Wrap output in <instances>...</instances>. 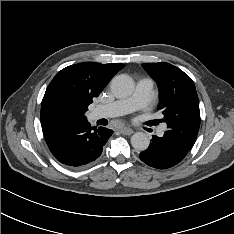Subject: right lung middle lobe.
I'll return each mask as SVG.
<instances>
[{
	"label": "right lung middle lobe",
	"mask_w": 234,
	"mask_h": 234,
	"mask_svg": "<svg viewBox=\"0 0 234 234\" xmlns=\"http://www.w3.org/2000/svg\"><path fill=\"white\" fill-rule=\"evenodd\" d=\"M85 117L63 101H52L41 106V125L73 121Z\"/></svg>",
	"instance_id": "right-lung-middle-lobe-1"
}]
</instances>
